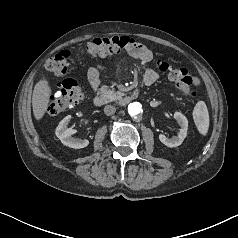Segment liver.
Returning a JSON list of instances; mask_svg holds the SVG:
<instances>
[{
  "label": "liver",
  "instance_id": "6515ba94",
  "mask_svg": "<svg viewBox=\"0 0 238 238\" xmlns=\"http://www.w3.org/2000/svg\"><path fill=\"white\" fill-rule=\"evenodd\" d=\"M51 88L46 79H42L36 83L32 95V108L36 120H40L48 107L50 101Z\"/></svg>",
  "mask_w": 238,
  "mask_h": 238
}]
</instances>
